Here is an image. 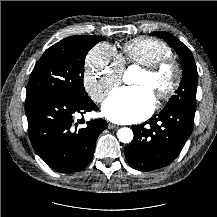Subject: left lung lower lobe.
Wrapping results in <instances>:
<instances>
[{"instance_id":"obj_1","label":"left lung lower lobe","mask_w":217,"mask_h":217,"mask_svg":"<svg viewBox=\"0 0 217 217\" xmlns=\"http://www.w3.org/2000/svg\"><path fill=\"white\" fill-rule=\"evenodd\" d=\"M194 115L193 109L175 107L162 110L144 124L133 126L134 138L125 148L130 166L152 171L172 163L193 130Z\"/></svg>"}]
</instances>
